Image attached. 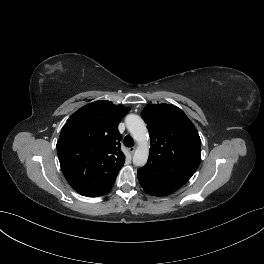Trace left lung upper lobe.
<instances>
[{"mask_svg":"<svg viewBox=\"0 0 264 264\" xmlns=\"http://www.w3.org/2000/svg\"><path fill=\"white\" fill-rule=\"evenodd\" d=\"M141 115L150 135L148 162L189 180L201 160V140L193 123L171 104H147Z\"/></svg>","mask_w":264,"mask_h":264,"instance_id":"left-lung-upper-lobe-1","label":"left lung upper lobe"}]
</instances>
